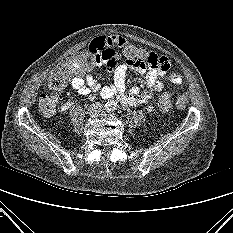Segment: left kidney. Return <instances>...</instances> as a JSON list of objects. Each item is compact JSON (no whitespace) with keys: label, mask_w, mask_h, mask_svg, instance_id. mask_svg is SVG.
Returning <instances> with one entry per match:
<instances>
[{"label":"left kidney","mask_w":233,"mask_h":233,"mask_svg":"<svg viewBox=\"0 0 233 233\" xmlns=\"http://www.w3.org/2000/svg\"><path fill=\"white\" fill-rule=\"evenodd\" d=\"M146 110L149 112V113H152L155 111V109L152 107V106H147L146 107Z\"/></svg>","instance_id":"left-kidney-1"}]
</instances>
